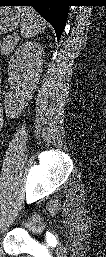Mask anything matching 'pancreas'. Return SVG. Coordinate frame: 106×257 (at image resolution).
<instances>
[{
  "label": "pancreas",
  "instance_id": "pancreas-1",
  "mask_svg": "<svg viewBox=\"0 0 106 257\" xmlns=\"http://www.w3.org/2000/svg\"><path fill=\"white\" fill-rule=\"evenodd\" d=\"M19 41L18 36H7L6 38H3V40L0 43V53L1 55H9L16 47L17 43Z\"/></svg>",
  "mask_w": 106,
  "mask_h": 257
}]
</instances>
